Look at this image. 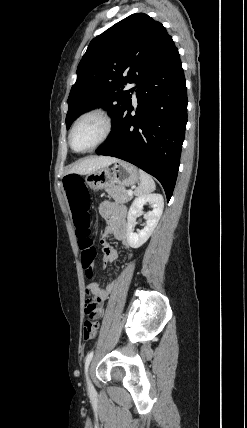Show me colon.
<instances>
[{
    "mask_svg": "<svg viewBox=\"0 0 247 428\" xmlns=\"http://www.w3.org/2000/svg\"><path fill=\"white\" fill-rule=\"evenodd\" d=\"M64 189L69 201L74 222L79 237L81 263L87 278L93 277V265L96 257V248L91 238V220L89 215V194L84 180L76 175L64 178ZM105 301L102 298H87L84 313L88 319L84 323L83 337L86 341L93 340L99 330L96 322L103 316Z\"/></svg>",
    "mask_w": 247,
    "mask_h": 428,
    "instance_id": "5ec220e1",
    "label": "colon"
}]
</instances>
